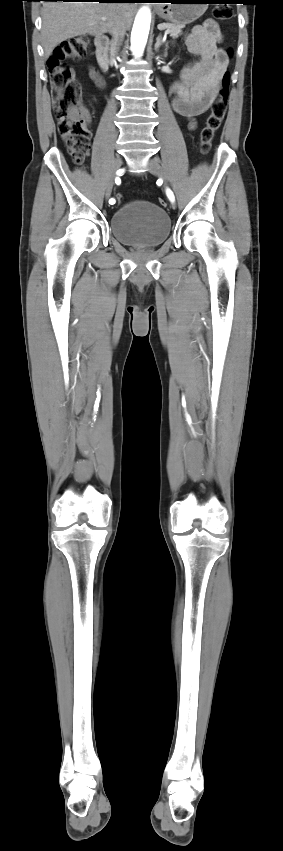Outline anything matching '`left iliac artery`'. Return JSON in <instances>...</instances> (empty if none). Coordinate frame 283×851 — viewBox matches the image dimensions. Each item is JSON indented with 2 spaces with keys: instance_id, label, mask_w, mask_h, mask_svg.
<instances>
[{
  "instance_id": "1",
  "label": "left iliac artery",
  "mask_w": 283,
  "mask_h": 851,
  "mask_svg": "<svg viewBox=\"0 0 283 851\" xmlns=\"http://www.w3.org/2000/svg\"><path fill=\"white\" fill-rule=\"evenodd\" d=\"M167 196L171 201H174V195L170 189L167 190Z\"/></svg>"
}]
</instances>
